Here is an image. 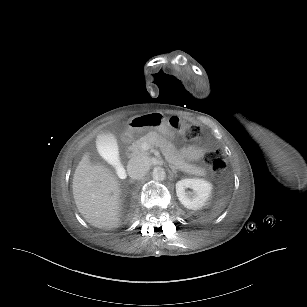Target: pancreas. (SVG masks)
<instances>
[{"label":"pancreas","instance_id":"1","mask_svg":"<svg viewBox=\"0 0 307 307\" xmlns=\"http://www.w3.org/2000/svg\"><path fill=\"white\" fill-rule=\"evenodd\" d=\"M144 143H148L151 145L153 143L154 145H157L159 148H163V154L166 158V160L171 163L174 169H179L181 171H186L187 174L192 175L196 174L198 176H201L204 174L205 169L203 166L198 165L194 166L192 164H187L186 161L182 158V156L178 153L177 149L171 145L169 141H165L162 139L160 135L150 134L146 135L139 140H137L133 144L132 153L134 156H143L144 153L141 151L142 145Z\"/></svg>","mask_w":307,"mask_h":307}]
</instances>
